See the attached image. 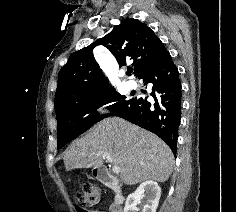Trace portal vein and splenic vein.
Here are the masks:
<instances>
[{
    "instance_id": "portal-vein-and-splenic-vein-1",
    "label": "portal vein and splenic vein",
    "mask_w": 236,
    "mask_h": 212,
    "mask_svg": "<svg viewBox=\"0 0 236 212\" xmlns=\"http://www.w3.org/2000/svg\"><path fill=\"white\" fill-rule=\"evenodd\" d=\"M98 155H101V156L105 157L108 162L112 163V158L106 152H99ZM112 171L115 174H119L120 171H121V168L119 166H113Z\"/></svg>"
}]
</instances>
